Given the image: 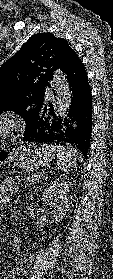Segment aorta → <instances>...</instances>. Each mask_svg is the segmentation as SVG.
<instances>
[{"instance_id":"aorta-1","label":"aorta","mask_w":113,"mask_h":279,"mask_svg":"<svg viewBox=\"0 0 113 279\" xmlns=\"http://www.w3.org/2000/svg\"><path fill=\"white\" fill-rule=\"evenodd\" d=\"M54 83L56 89V99L54 103V107L57 115L60 117H64L69 110V106L71 105L72 93L69 87V83L62 74L60 70H57L54 73Z\"/></svg>"}]
</instances>
